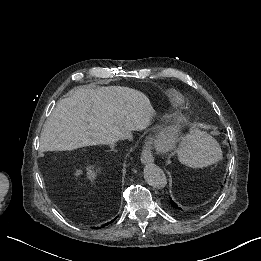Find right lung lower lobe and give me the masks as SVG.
I'll list each match as a JSON object with an SVG mask.
<instances>
[{
  "instance_id": "1",
  "label": "right lung lower lobe",
  "mask_w": 261,
  "mask_h": 261,
  "mask_svg": "<svg viewBox=\"0 0 261 261\" xmlns=\"http://www.w3.org/2000/svg\"><path fill=\"white\" fill-rule=\"evenodd\" d=\"M111 222H112V221H111ZM106 225H108V223H107V224H105V225H103V226H101V227L103 228V227H105Z\"/></svg>"
}]
</instances>
